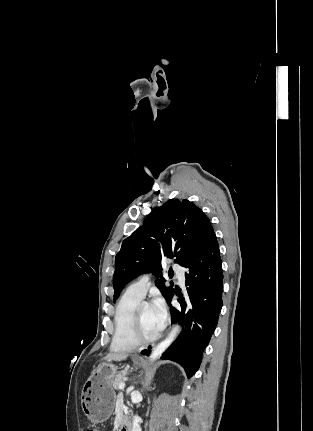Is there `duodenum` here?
Segmentation results:
<instances>
[{"label": "duodenum", "instance_id": "410a0bca", "mask_svg": "<svg viewBox=\"0 0 313 431\" xmlns=\"http://www.w3.org/2000/svg\"><path fill=\"white\" fill-rule=\"evenodd\" d=\"M120 431H131V421L126 418L122 421L120 426Z\"/></svg>", "mask_w": 313, "mask_h": 431}]
</instances>
